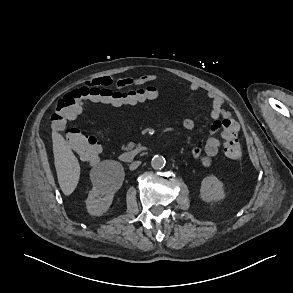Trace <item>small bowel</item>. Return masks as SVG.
<instances>
[{"label":"small bowel","mask_w":293,"mask_h":293,"mask_svg":"<svg viewBox=\"0 0 293 293\" xmlns=\"http://www.w3.org/2000/svg\"><path fill=\"white\" fill-rule=\"evenodd\" d=\"M157 78L158 76L154 74H147L137 78L126 77V78H120L117 80H113L109 76H103L100 78L93 79L89 83L90 84L105 83L109 85L114 84L118 89H122V88L130 87L132 85L144 86L157 80ZM189 88L191 91H198L200 89V86L197 83L192 82L190 83ZM206 94H207V97L212 102L210 115L213 121L210 125V136L205 143L204 149L195 147L191 151L192 158L195 160H198L203 166H209L212 163L213 158L219 152L221 143H220V140L217 137H215V133L221 127L220 119L221 118L227 119L232 117L231 112L224 109L223 100L216 92L209 90L207 91ZM159 95H160V91L158 88L154 86H147L144 89V94L140 95L138 98L124 101L121 103H110V104L114 107L133 106L139 103H143L145 101L154 100ZM84 105L85 104H83L82 109ZM195 126H196V123L192 118L190 117L184 118L183 127L185 129L192 130L195 128Z\"/></svg>","instance_id":"obj_1"}]
</instances>
